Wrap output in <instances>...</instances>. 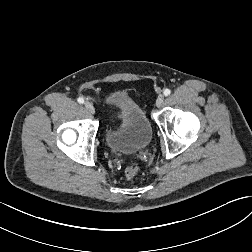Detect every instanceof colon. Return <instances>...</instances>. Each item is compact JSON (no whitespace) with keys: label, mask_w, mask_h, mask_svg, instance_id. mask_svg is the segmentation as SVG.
<instances>
[{"label":"colon","mask_w":252,"mask_h":252,"mask_svg":"<svg viewBox=\"0 0 252 252\" xmlns=\"http://www.w3.org/2000/svg\"><path fill=\"white\" fill-rule=\"evenodd\" d=\"M139 171V165L137 163L129 164L125 169V176L127 178H133Z\"/></svg>","instance_id":"1"}]
</instances>
